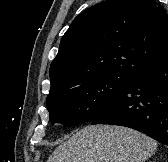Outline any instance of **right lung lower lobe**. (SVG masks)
Segmentation results:
<instances>
[{"instance_id": "98d812e1", "label": "right lung lower lobe", "mask_w": 168, "mask_h": 162, "mask_svg": "<svg viewBox=\"0 0 168 162\" xmlns=\"http://www.w3.org/2000/svg\"><path fill=\"white\" fill-rule=\"evenodd\" d=\"M91 124L126 126L168 145V59L132 75Z\"/></svg>"}]
</instances>
